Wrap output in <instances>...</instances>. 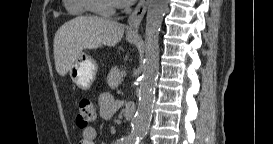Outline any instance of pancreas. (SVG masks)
I'll return each instance as SVG.
<instances>
[{
	"mask_svg": "<svg viewBox=\"0 0 273 144\" xmlns=\"http://www.w3.org/2000/svg\"><path fill=\"white\" fill-rule=\"evenodd\" d=\"M121 81V70L118 67H113L107 76L108 86L115 89L120 85Z\"/></svg>",
	"mask_w": 273,
	"mask_h": 144,
	"instance_id": "obj_1",
	"label": "pancreas"
}]
</instances>
